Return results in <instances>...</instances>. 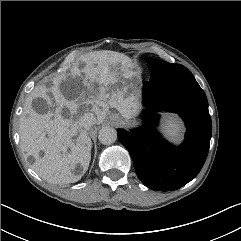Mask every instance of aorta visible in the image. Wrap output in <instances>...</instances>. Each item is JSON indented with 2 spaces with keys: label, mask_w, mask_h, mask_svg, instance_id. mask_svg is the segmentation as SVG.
<instances>
[{
  "label": "aorta",
  "mask_w": 241,
  "mask_h": 241,
  "mask_svg": "<svg viewBox=\"0 0 241 241\" xmlns=\"http://www.w3.org/2000/svg\"><path fill=\"white\" fill-rule=\"evenodd\" d=\"M98 139L103 145L113 144L117 139V131L110 126L103 127L99 131Z\"/></svg>",
  "instance_id": "1"
}]
</instances>
